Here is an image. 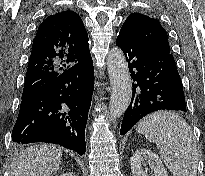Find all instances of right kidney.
I'll list each match as a JSON object with an SVG mask.
<instances>
[{
  "mask_svg": "<svg viewBox=\"0 0 205 176\" xmlns=\"http://www.w3.org/2000/svg\"><path fill=\"white\" fill-rule=\"evenodd\" d=\"M60 176H75V175L73 173H64V174H62Z\"/></svg>",
  "mask_w": 205,
  "mask_h": 176,
  "instance_id": "obj_1",
  "label": "right kidney"
}]
</instances>
